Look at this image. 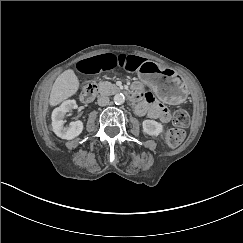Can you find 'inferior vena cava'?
<instances>
[{"label": "inferior vena cava", "instance_id": "obj_1", "mask_svg": "<svg viewBox=\"0 0 243 243\" xmlns=\"http://www.w3.org/2000/svg\"><path fill=\"white\" fill-rule=\"evenodd\" d=\"M110 102V99L108 96H99L97 99V103L99 106H106Z\"/></svg>", "mask_w": 243, "mask_h": 243}]
</instances>
